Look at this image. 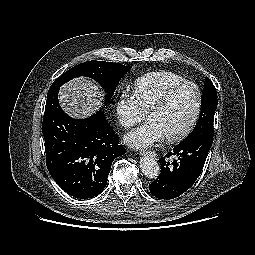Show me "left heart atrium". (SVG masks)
Listing matches in <instances>:
<instances>
[{
    "label": "left heart atrium",
    "mask_w": 255,
    "mask_h": 255,
    "mask_svg": "<svg viewBox=\"0 0 255 255\" xmlns=\"http://www.w3.org/2000/svg\"><path fill=\"white\" fill-rule=\"evenodd\" d=\"M165 135L160 126L154 121H148L145 125L128 132L124 136V142L135 149H146L159 144Z\"/></svg>",
    "instance_id": "39dd6f15"
}]
</instances>
